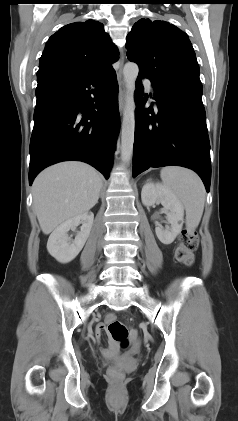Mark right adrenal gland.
Segmentation results:
<instances>
[{
  "mask_svg": "<svg viewBox=\"0 0 238 421\" xmlns=\"http://www.w3.org/2000/svg\"><path fill=\"white\" fill-rule=\"evenodd\" d=\"M102 193H103V190H101V192H100V197L102 196Z\"/></svg>",
  "mask_w": 238,
  "mask_h": 421,
  "instance_id": "obj_1",
  "label": "right adrenal gland"
}]
</instances>
